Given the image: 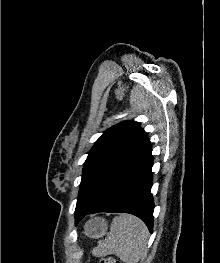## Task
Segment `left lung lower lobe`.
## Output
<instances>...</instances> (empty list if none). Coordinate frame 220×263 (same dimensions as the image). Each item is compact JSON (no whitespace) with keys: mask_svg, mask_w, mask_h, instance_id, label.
<instances>
[{"mask_svg":"<svg viewBox=\"0 0 220 263\" xmlns=\"http://www.w3.org/2000/svg\"><path fill=\"white\" fill-rule=\"evenodd\" d=\"M151 148L141 156L90 208L75 211V224L87 214L124 212L142 219L153 229L152 187L153 156Z\"/></svg>","mask_w":220,"mask_h":263,"instance_id":"1","label":"left lung lower lobe"}]
</instances>
